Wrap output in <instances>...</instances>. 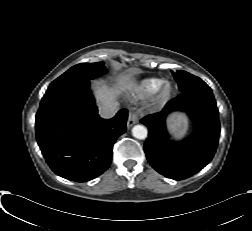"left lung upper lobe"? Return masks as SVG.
I'll return each mask as SVG.
<instances>
[{
	"label": "left lung upper lobe",
	"mask_w": 252,
	"mask_h": 231,
	"mask_svg": "<svg viewBox=\"0 0 252 231\" xmlns=\"http://www.w3.org/2000/svg\"><path fill=\"white\" fill-rule=\"evenodd\" d=\"M175 80L178 82L179 89L188 91L192 89L209 88V86L199 77L194 76L186 71H177L173 73Z\"/></svg>",
	"instance_id": "obj_1"
}]
</instances>
